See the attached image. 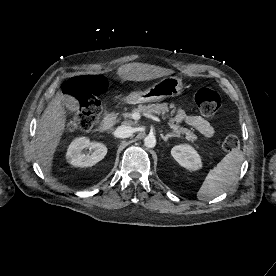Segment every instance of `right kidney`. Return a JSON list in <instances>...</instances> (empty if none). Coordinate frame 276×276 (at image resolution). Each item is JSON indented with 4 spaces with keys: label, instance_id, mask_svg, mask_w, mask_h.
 Returning a JSON list of instances; mask_svg holds the SVG:
<instances>
[{
    "label": "right kidney",
    "instance_id": "obj_1",
    "mask_svg": "<svg viewBox=\"0 0 276 276\" xmlns=\"http://www.w3.org/2000/svg\"><path fill=\"white\" fill-rule=\"evenodd\" d=\"M91 149V154L83 153L84 149ZM107 147L99 142H90L87 137L74 139L66 153L67 161L75 167H91L101 161L107 154Z\"/></svg>",
    "mask_w": 276,
    "mask_h": 276
}]
</instances>
